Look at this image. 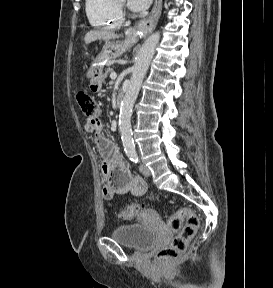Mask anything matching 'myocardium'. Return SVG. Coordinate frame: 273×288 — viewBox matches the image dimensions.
<instances>
[{"label": "myocardium", "mask_w": 273, "mask_h": 288, "mask_svg": "<svg viewBox=\"0 0 273 288\" xmlns=\"http://www.w3.org/2000/svg\"><path fill=\"white\" fill-rule=\"evenodd\" d=\"M118 3H119V5H120V7H123V2H122V0H118Z\"/></svg>", "instance_id": "f54148a6"}]
</instances>
